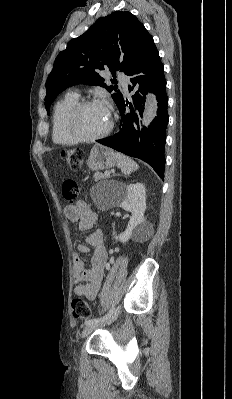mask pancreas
<instances>
[{"instance_id":"cf45deb5","label":"pancreas","mask_w":232,"mask_h":399,"mask_svg":"<svg viewBox=\"0 0 232 399\" xmlns=\"http://www.w3.org/2000/svg\"><path fill=\"white\" fill-rule=\"evenodd\" d=\"M95 182H98V180H105V178H108V176H105V172H95L93 176Z\"/></svg>"}]
</instances>
